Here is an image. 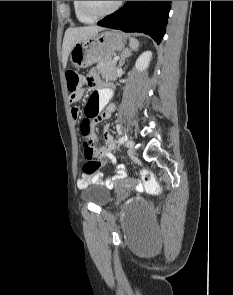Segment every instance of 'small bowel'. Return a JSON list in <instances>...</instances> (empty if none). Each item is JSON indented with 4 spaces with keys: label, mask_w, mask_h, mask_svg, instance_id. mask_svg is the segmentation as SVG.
I'll return each mask as SVG.
<instances>
[{
    "label": "small bowel",
    "mask_w": 233,
    "mask_h": 295,
    "mask_svg": "<svg viewBox=\"0 0 233 295\" xmlns=\"http://www.w3.org/2000/svg\"><path fill=\"white\" fill-rule=\"evenodd\" d=\"M87 82L94 85L97 90L94 91L89 97L84 111L85 116L88 120H93L96 123L104 122L111 117L115 109L113 104H108L109 98L111 96V91L108 89H100V84L97 82L95 72H91L87 76ZM83 94L84 92L79 94L75 98L70 97V101L72 103L79 101L83 97ZM82 113L83 112L81 108L78 106H73L71 108V114L74 119H78L82 115ZM103 141L104 144L102 147H100L102 155L105 157L106 160L110 161L112 164H115V157L111 153V150L114 147V141L112 135L110 134L108 125L105 126L103 131ZM123 177H125V172L121 168H117L116 174L112 178H103L102 174L97 171L91 175H83L82 177H80L77 180V186L80 189H84L90 184L111 185L113 181L121 179Z\"/></svg>",
    "instance_id": "small-bowel-1"
}]
</instances>
